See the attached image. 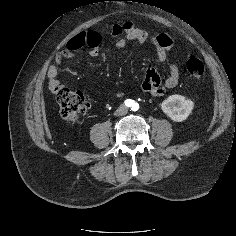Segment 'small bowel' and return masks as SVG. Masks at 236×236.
<instances>
[{
    "mask_svg": "<svg viewBox=\"0 0 236 236\" xmlns=\"http://www.w3.org/2000/svg\"><path fill=\"white\" fill-rule=\"evenodd\" d=\"M109 34L111 37L116 38L115 46L119 49L125 48L130 41L151 46L160 61L167 59L174 45V40L170 34L160 33L156 36H150L145 30L135 27L131 22L112 25L109 29ZM101 39V33L95 30L79 32L68 41L66 48L56 55V64H62L65 60L83 50H86L92 57L97 56ZM47 78L48 87L52 93H56L59 88L63 87L58 80V69L55 65L48 67ZM179 79L180 70L178 66L170 63L168 65V75L164 81H162L155 69L147 70L141 82V89L150 95L162 96L167 89L176 87ZM115 95L121 97L122 92L117 91Z\"/></svg>",
    "mask_w": 236,
    "mask_h": 236,
    "instance_id": "c3829d8e",
    "label": "small bowel"
}]
</instances>
